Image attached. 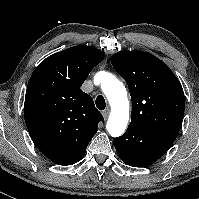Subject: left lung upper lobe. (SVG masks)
Returning <instances> with one entry per match:
<instances>
[{"label": "left lung upper lobe", "instance_id": "5c2ea615", "mask_svg": "<svg viewBox=\"0 0 199 199\" xmlns=\"http://www.w3.org/2000/svg\"><path fill=\"white\" fill-rule=\"evenodd\" d=\"M111 63L129 87L131 124L174 142L185 107L184 92L174 73L159 58L142 51L115 53Z\"/></svg>", "mask_w": 199, "mask_h": 199}]
</instances>
